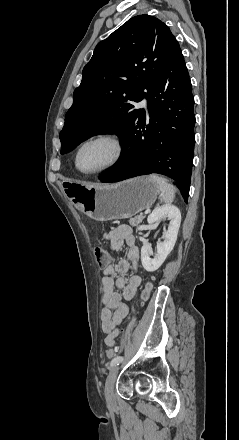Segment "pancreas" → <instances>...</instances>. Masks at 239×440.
<instances>
[{"label":"pancreas","mask_w":239,"mask_h":440,"mask_svg":"<svg viewBox=\"0 0 239 440\" xmlns=\"http://www.w3.org/2000/svg\"><path fill=\"white\" fill-rule=\"evenodd\" d=\"M145 216H135V218H130V220H128L130 226H139V224H141V222H143Z\"/></svg>","instance_id":"cf45deb5"}]
</instances>
